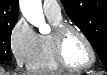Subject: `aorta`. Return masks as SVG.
<instances>
[{
	"instance_id": "aorta-1",
	"label": "aorta",
	"mask_w": 107,
	"mask_h": 75,
	"mask_svg": "<svg viewBox=\"0 0 107 75\" xmlns=\"http://www.w3.org/2000/svg\"><path fill=\"white\" fill-rule=\"evenodd\" d=\"M19 4L26 20L39 28L41 33H44L47 25L45 23L41 0H20Z\"/></svg>"
}]
</instances>
